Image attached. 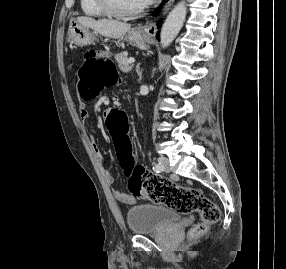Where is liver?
I'll return each instance as SVG.
<instances>
[{
	"label": "liver",
	"instance_id": "6515ba94",
	"mask_svg": "<svg viewBox=\"0 0 286 269\" xmlns=\"http://www.w3.org/2000/svg\"><path fill=\"white\" fill-rule=\"evenodd\" d=\"M76 21L102 36L113 39L122 38L131 28L130 24L124 22L108 19L95 20L86 16L77 17Z\"/></svg>",
	"mask_w": 286,
	"mask_h": 269
}]
</instances>
